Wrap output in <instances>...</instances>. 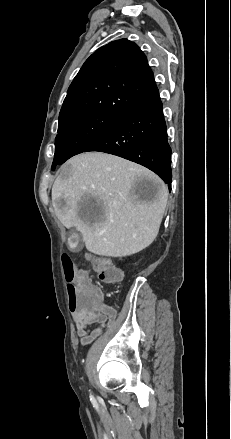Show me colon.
<instances>
[{
    "label": "colon",
    "instance_id": "obj_1",
    "mask_svg": "<svg viewBox=\"0 0 231 439\" xmlns=\"http://www.w3.org/2000/svg\"><path fill=\"white\" fill-rule=\"evenodd\" d=\"M92 265L98 277L105 283H115L121 279V272L118 268L113 266L108 260L101 257L91 256ZM63 269L65 279L68 283V296L69 306L68 311L70 313H78L83 311L84 308L89 309L91 306L97 304L98 295L101 291L95 287L90 281L89 274H78L73 261L68 255L62 257ZM78 283L86 289L87 300L85 301V295L83 293H76V286L74 283ZM84 306V308H83ZM87 318H92V313H87Z\"/></svg>",
    "mask_w": 231,
    "mask_h": 439
}]
</instances>
